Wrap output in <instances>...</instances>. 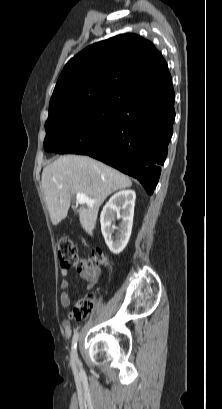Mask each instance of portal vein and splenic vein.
Wrapping results in <instances>:
<instances>
[{"mask_svg": "<svg viewBox=\"0 0 222 409\" xmlns=\"http://www.w3.org/2000/svg\"><path fill=\"white\" fill-rule=\"evenodd\" d=\"M76 200L79 204L92 205L94 203V201L88 198L85 194L79 192L76 193Z\"/></svg>", "mask_w": 222, "mask_h": 409, "instance_id": "portal-vein-and-splenic-vein-1", "label": "portal vein and splenic vein"}]
</instances>
